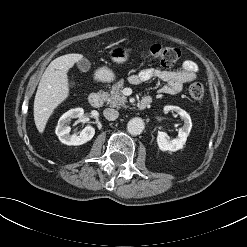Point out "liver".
<instances>
[{"instance_id": "1", "label": "liver", "mask_w": 247, "mask_h": 247, "mask_svg": "<svg viewBox=\"0 0 247 247\" xmlns=\"http://www.w3.org/2000/svg\"><path fill=\"white\" fill-rule=\"evenodd\" d=\"M83 59L82 54L71 53L54 59L43 73L34 99V121L43 133L54 109L69 96L68 71Z\"/></svg>"}]
</instances>
